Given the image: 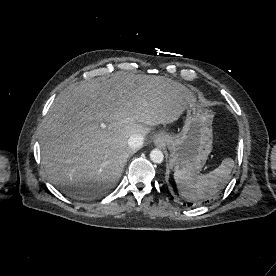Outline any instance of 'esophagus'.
<instances>
[{
	"label": "esophagus",
	"instance_id": "esophagus-1",
	"mask_svg": "<svg viewBox=\"0 0 276 276\" xmlns=\"http://www.w3.org/2000/svg\"><path fill=\"white\" fill-rule=\"evenodd\" d=\"M165 142V138L164 137H158L156 140H155V143L156 144H163Z\"/></svg>",
	"mask_w": 276,
	"mask_h": 276
}]
</instances>
